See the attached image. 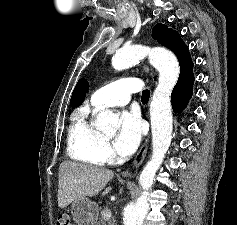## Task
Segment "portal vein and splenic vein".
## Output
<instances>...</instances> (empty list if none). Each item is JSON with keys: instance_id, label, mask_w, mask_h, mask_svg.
Returning <instances> with one entry per match:
<instances>
[{"instance_id": "portal-vein-and-splenic-vein-1", "label": "portal vein and splenic vein", "mask_w": 237, "mask_h": 225, "mask_svg": "<svg viewBox=\"0 0 237 225\" xmlns=\"http://www.w3.org/2000/svg\"><path fill=\"white\" fill-rule=\"evenodd\" d=\"M103 215H104L105 218H108V219L111 218V216H112L111 210L105 209L103 211Z\"/></svg>"}]
</instances>
